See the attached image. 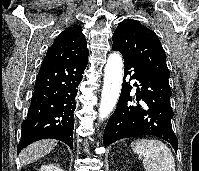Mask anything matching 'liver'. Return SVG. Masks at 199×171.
I'll return each instance as SVG.
<instances>
[{
    "label": "liver",
    "instance_id": "1",
    "mask_svg": "<svg viewBox=\"0 0 199 171\" xmlns=\"http://www.w3.org/2000/svg\"><path fill=\"white\" fill-rule=\"evenodd\" d=\"M57 145V141L53 139L40 140L30 144L20 153L21 165L30 164L41 157L49 154Z\"/></svg>",
    "mask_w": 199,
    "mask_h": 171
}]
</instances>
